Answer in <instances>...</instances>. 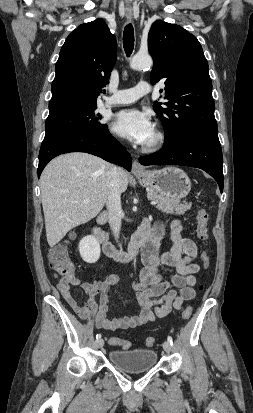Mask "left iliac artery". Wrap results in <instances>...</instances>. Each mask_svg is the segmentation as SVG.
Wrapping results in <instances>:
<instances>
[{
  "mask_svg": "<svg viewBox=\"0 0 253 413\" xmlns=\"http://www.w3.org/2000/svg\"><path fill=\"white\" fill-rule=\"evenodd\" d=\"M167 340H168V342H169L171 345L173 344V339H172L171 336H168Z\"/></svg>",
  "mask_w": 253,
  "mask_h": 413,
  "instance_id": "left-iliac-artery-1",
  "label": "left iliac artery"
}]
</instances>
